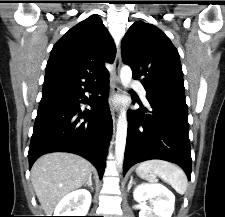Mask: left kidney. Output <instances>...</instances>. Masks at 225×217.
Here are the masks:
<instances>
[{"label":"left kidney","mask_w":225,"mask_h":217,"mask_svg":"<svg viewBox=\"0 0 225 217\" xmlns=\"http://www.w3.org/2000/svg\"><path fill=\"white\" fill-rule=\"evenodd\" d=\"M133 197L137 202L149 200L152 208L145 206L139 217H171L174 211L175 196L162 184H142L135 188Z\"/></svg>","instance_id":"1"}]
</instances>
